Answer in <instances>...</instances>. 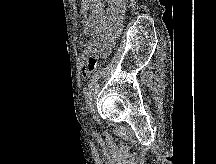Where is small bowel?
<instances>
[{"label": "small bowel", "mask_w": 216, "mask_h": 164, "mask_svg": "<svg viewBox=\"0 0 216 164\" xmlns=\"http://www.w3.org/2000/svg\"><path fill=\"white\" fill-rule=\"evenodd\" d=\"M125 9V0H82L81 13L89 11L83 21L85 34L90 36L83 43L84 54L96 58L108 54L120 33Z\"/></svg>", "instance_id": "small-bowel-1"}]
</instances>
